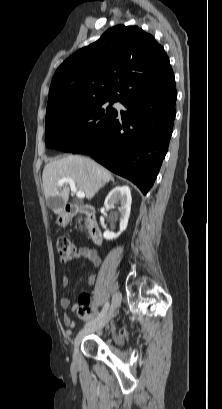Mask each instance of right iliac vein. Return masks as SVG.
Here are the masks:
<instances>
[{
    "label": "right iliac vein",
    "mask_w": 222,
    "mask_h": 409,
    "mask_svg": "<svg viewBox=\"0 0 222 409\" xmlns=\"http://www.w3.org/2000/svg\"><path fill=\"white\" fill-rule=\"evenodd\" d=\"M121 299H122L121 294L119 292L116 293L112 298L111 307L109 311L103 316V318L96 322L95 324L85 327L78 333L74 341L73 357L75 360L78 357V346L82 339L89 333L97 331L109 323V321L114 317L115 311L121 303Z\"/></svg>",
    "instance_id": "63e3f726"
}]
</instances>
